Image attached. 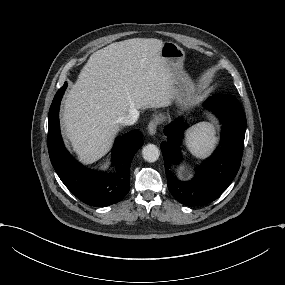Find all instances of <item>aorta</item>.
<instances>
[{
  "mask_svg": "<svg viewBox=\"0 0 285 285\" xmlns=\"http://www.w3.org/2000/svg\"><path fill=\"white\" fill-rule=\"evenodd\" d=\"M142 155L145 161L147 162H155L158 160L160 156V150L159 148L154 144H147L142 149Z\"/></svg>",
  "mask_w": 285,
  "mask_h": 285,
  "instance_id": "762f6f07",
  "label": "aorta"
}]
</instances>
